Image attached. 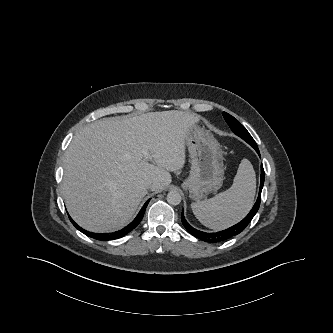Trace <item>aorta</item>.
Wrapping results in <instances>:
<instances>
[{"mask_svg": "<svg viewBox=\"0 0 333 333\" xmlns=\"http://www.w3.org/2000/svg\"><path fill=\"white\" fill-rule=\"evenodd\" d=\"M167 201L171 205H178L181 202V195L177 191H170L167 194Z\"/></svg>", "mask_w": 333, "mask_h": 333, "instance_id": "1", "label": "aorta"}]
</instances>
